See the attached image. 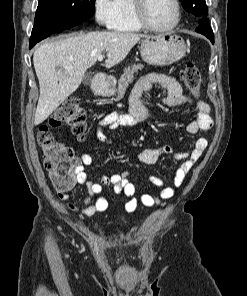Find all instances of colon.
I'll return each instance as SVG.
<instances>
[{
	"label": "colon",
	"mask_w": 247,
	"mask_h": 296,
	"mask_svg": "<svg viewBox=\"0 0 247 296\" xmlns=\"http://www.w3.org/2000/svg\"><path fill=\"white\" fill-rule=\"evenodd\" d=\"M182 79L192 95L198 98L201 88V73L196 64L189 62L184 66ZM61 125L68 126L76 136L84 134L86 112L77 98H67L53 113L49 124L40 127L37 135L43 152L44 166L52 184L59 192H65L76 183L80 162L70 147L51 134V127Z\"/></svg>",
	"instance_id": "1"
}]
</instances>
